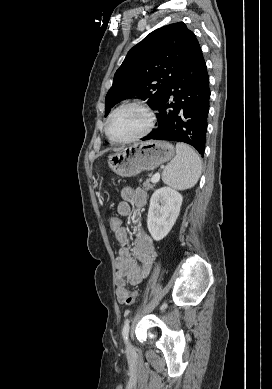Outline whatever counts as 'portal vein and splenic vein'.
Masks as SVG:
<instances>
[{
	"instance_id": "1",
	"label": "portal vein and splenic vein",
	"mask_w": 272,
	"mask_h": 389,
	"mask_svg": "<svg viewBox=\"0 0 272 389\" xmlns=\"http://www.w3.org/2000/svg\"><path fill=\"white\" fill-rule=\"evenodd\" d=\"M151 180L153 183H157L160 180V174L156 173Z\"/></svg>"
}]
</instances>
